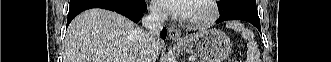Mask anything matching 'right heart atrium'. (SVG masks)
I'll use <instances>...</instances> for the list:
<instances>
[{
  "instance_id": "obj_1",
  "label": "right heart atrium",
  "mask_w": 331,
  "mask_h": 62,
  "mask_svg": "<svg viewBox=\"0 0 331 62\" xmlns=\"http://www.w3.org/2000/svg\"><path fill=\"white\" fill-rule=\"evenodd\" d=\"M152 13L156 17H162L163 16L162 10L160 8H158V7H153Z\"/></svg>"
}]
</instances>
